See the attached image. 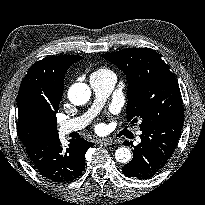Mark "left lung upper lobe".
<instances>
[{
    "mask_svg": "<svg viewBox=\"0 0 205 205\" xmlns=\"http://www.w3.org/2000/svg\"><path fill=\"white\" fill-rule=\"evenodd\" d=\"M126 74L127 120L140 130L158 122L184 116L182 98L174 74L161 56L150 48H128L102 54Z\"/></svg>",
    "mask_w": 205,
    "mask_h": 205,
    "instance_id": "obj_1",
    "label": "left lung upper lobe"
}]
</instances>
